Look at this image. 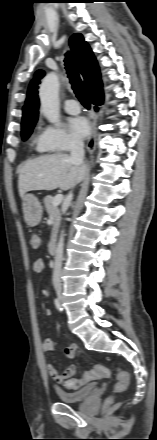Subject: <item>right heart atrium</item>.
Segmentation results:
<instances>
[{
	"label": "right heart atrium",
	"mask_w": 157,
	"mask_h": 440,
	"mask_svg": "<svg viewBox=\"0 0 157 440\" xmlns=\"http://www.w3.org/2000/svg\"><path fill=\"white\" fill-rule=\"evenodd\" d=\"M45 144L53 151H65L80 144L61 126H49L43 131Z\"/></svg>",
	"instance_id": "1"
}]
</instances>
